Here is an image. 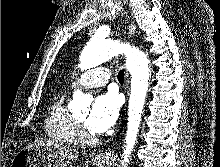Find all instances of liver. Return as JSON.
Here are the masks:
<instances>
[{
	"label": "liver",
	"instance_id": "liver-1",
	"mask_svg": "<svg viewBox=\"0 0 220 167\" xmlns=\"http://www.w3.org/2000/svg\"><path fill=\"white\" fill-rule=\"evenodd\" d=\"M32 147L36 150H40L41 153L49 160H56L61 163H69L79 157V150L75 148L62 147L54 143L53 140L44 138H37L32 144Z\"/></svg>",
	"mask_w": 220,
	"mask_h": 167
}]
</instances>
